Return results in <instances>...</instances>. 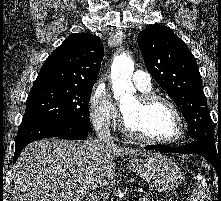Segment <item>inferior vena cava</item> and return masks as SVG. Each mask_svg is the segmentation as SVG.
Returning <instances> with one entry per match:
<instances>
[{
  "instance_id": "602c4592",
  "label": "inferior vena cava",
  "mask_w": 221,
  "mask_h": 201,
  "mask_svg": "<svg viewBox=\"0 0 221 201\" xmlns=\"http://www.w3.org/2000/svg\"><path fill=\"white\" fill-rule=\"evenodd\" d=\"M97 141L102 144L113 145V139L110 134L109 126L107 124H103L97 130Z\"/></svg>"
}]
</instances>
